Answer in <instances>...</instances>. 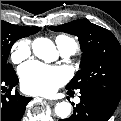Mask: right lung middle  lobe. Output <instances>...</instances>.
Returning a JSON list of instances; mask_svg holds the SVG:
<instances>
[{
	"label": "right lung middle lobe",
	"mask_w": 121,
	"mask_h": 121,
	"mask_svg": "<svg viewBox=\"0 0 121 121\" xmlns=\"http://www.w3.org/2000/svg\"><path fill=\"white\" fill-rule=\"evenodd\" d=\"M28 35L27 27L13 25L1 20V75L14 70L12 65L7 63L10 49L15 41Z\"/></svg>",
	"instance_id": "dd1d6c3e"
}]
</instances>
